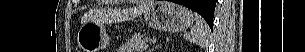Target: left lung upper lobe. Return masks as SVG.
<instances>
[{"label": "left lung upper lobe", "instance_id": "left-lung-upper-lobe-1", "mask_svg": "<svg viewBox=\"0 0 305 52\" xmlns=\"http://www.w3.org/2000/svg\"><path fill=\"white\" fill-rule=\"evenodd\" d=\"M213 15H214V13H212V14L207 13V14L203 15V18L207 21L208 24L213 25Z\"/></svg>", "mask_w": 305, "mask_h": 52}]
</instances>
